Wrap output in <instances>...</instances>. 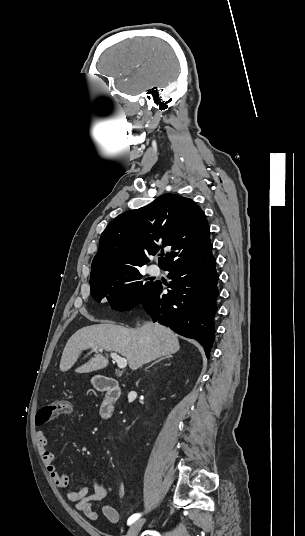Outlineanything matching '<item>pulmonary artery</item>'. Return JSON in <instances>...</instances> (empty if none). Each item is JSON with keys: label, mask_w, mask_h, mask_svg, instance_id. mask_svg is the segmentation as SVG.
Instances as JSON below:
<instances>
[{"label": "pulmonary artery", "mask_w": 305, "mask_h": 536, "mask_svg": "<svg viewBox=\"0 0 305 536\" xmlns=\"http://www.w3.org/2000/svg\"><path fill=\"white\" fill-rule=\"evenodd\" d=\"M151 272L154 274V275H158L160 273V268L157 267V266H153L151 268Z\"/></svg>", "instance_id": "pulmonary-artery-1"}]
</instances>
